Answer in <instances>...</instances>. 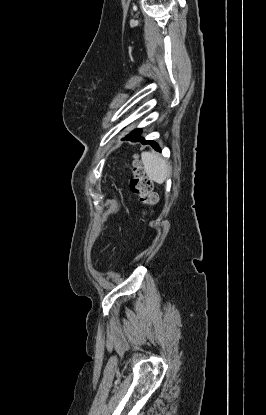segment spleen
Here are the masks:
<instances>
[{"label":"spleen","instance_id":"spleen-1","mask_svg":"<svg viewBox=\"0 0 266 415\" xmlns=\"http://www.w3.org/2000/svg\"><path fill=\"white\" fill-rule=\"evenodd\" d=\"M141 159L147 177L158 184H162L170 172L168 163L158 153L152 152H142Z\"/></svg>","mask_w":266,"mask_h":415}]
</instances>
